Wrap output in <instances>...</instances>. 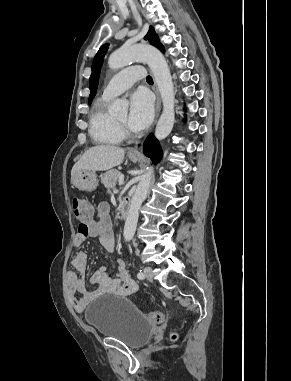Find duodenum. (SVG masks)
I'll list each match as a JSON object with an SVG mask.
<instances>
[{
	"label": "duodenum",
	"mask_w": 291,
	"mask_h": 381,
	"mask_svg": "<svg viewBox=\"0 0 291 381\" xmlns=\"http://www.w3.org/2000/svg\"><path fill=\"white\" fill-rule=\"evenodd\" d=\"M120 214L123 218H126L129 213V202L128 201H123L120 205Z\"/></svg>",
	"instance_id": "duodenum-1"
}]
</instances>
